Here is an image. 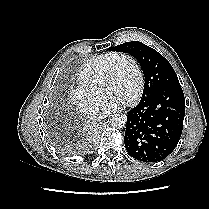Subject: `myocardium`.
Masks as SVG:
<instances>
[{
  "mask_svg": "<svg viewBox=\"0 0 209 209\" xmlns=\"http://www.w3.org/2000/svg\"><path fill=\"white\" fill-rule=\"evenodd\" d=\"M122 59H127L133 64L135 71H136V75H137L136 84L134 86V89L131 95L126 100H124L125 103L129 104V103L134 102L138 98L140 91L142 89V85H143V72H142L141 66L138 63L137 59L130 54L118 53V55L109 63L103 75L102 93L106 95L107 87L112 78L116 64L119 60H122Z\"/></svg>",
  "mask_w": 209,
  "mask_h": 209,
  "instance_id": "obj_1",
  "label": "myocardium"
}]
</instances>
